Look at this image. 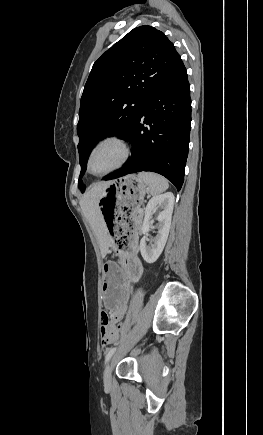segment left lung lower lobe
Segmentation results:
<instances>
[{"instance_id": "obj_1", "label": "left lung lower lobe", "mask_w": 263, "mask_h": 435, "mask_svg": "<svg viewBox=\"0 0 263 435\" xmlns=\"http://www.w3.org/2000/svg\"><path fill=\"white\" fill-rule=\"evenodd\" d=\"M190 128V87L185 66L180 61L143 106L127 138L134 146L132 156L123 169L103 177V180L152 171L165 176L180 190L184 181Z\"/></svg>"}]
</instances>
